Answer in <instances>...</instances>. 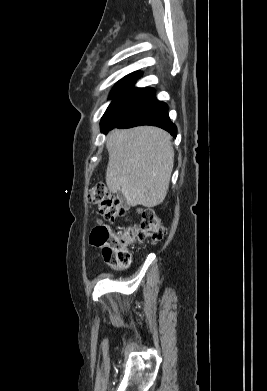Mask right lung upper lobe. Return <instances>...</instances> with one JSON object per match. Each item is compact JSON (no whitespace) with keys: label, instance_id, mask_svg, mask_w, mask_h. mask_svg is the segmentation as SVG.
I'll return each mask as SVG.
<instances>
[{"label":"right lung upper lobe","instance_id":"right-lung-upper-lobe-1","mask_svg":"<svg viewBox=\"0 0 267 391\" xmlns=\"http://www.w3.org/2000/svg\"><path fill=\"white\" fill-rule=\"evenodd\" d=\"M127 76H136V77H140L141 76V73L140 72H134V73H131Z\"/></svg>","mask_w":267,"mask_h":391}]
</instances>
